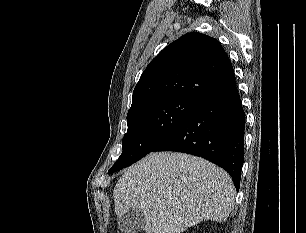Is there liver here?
<instances>
[{"mask_svg":"<svg viewBox=\"0 0 306 233\" xmlns=\"http://www.w3.org/2000/svg\"><path fill=\"white\" fill-rule=\"evenodd\" d=\"M115 213L143 212L146 233H182L202 221L223 222L236 196L229 174L184 153L159 152L127 168L114 191Z\"/></svg>","mask_w":306,"mask_h":233,"instance_id":"1","label":"liver"}]
</instances>
